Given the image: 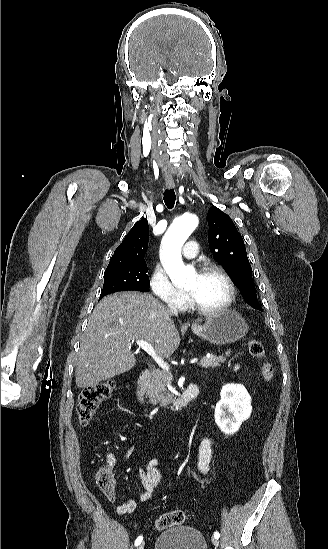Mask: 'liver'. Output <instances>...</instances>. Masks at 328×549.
<instances>
[{
  "instance_id": "1",
  "label": "liver",
  "mask_w": 328,
  "mask_h": 549,
  "mask_svg": "<svg viewBox=\"0 0 328 549\" xmlns=\"http://www.w3.org/2000/svg\"><path fill=\"white\" fill-rule=\"evenodd\" d=\"M171 317L165 305L147 293L126 291L104 297L81 339L77 387H93L133 369L132 341H147L158 357L169 359L181 341Z\"/></svg>"
}]
</instances>
